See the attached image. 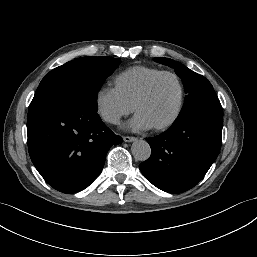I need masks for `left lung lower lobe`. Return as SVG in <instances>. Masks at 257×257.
<instances>
[{"mask_svg":"<svg viewBox=\"0 0 257 257\" xmlns=\"http://www.w3.org/2000/svg\"><path fill=\"white\" fill-rule=\"evenodd\" d=\"M223 111L219 100L183 115L164 133L146 138L151 156L139 168L157 188L181 193L206 174L221 148Z\"/></svg>","mask_w":257,"mask_h":257,"instance_id":"left-lung-lower-lobe-1","label":"left lung lower lobe"}]
</instances>
